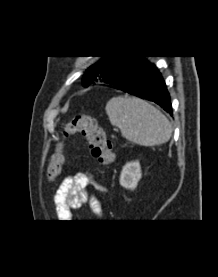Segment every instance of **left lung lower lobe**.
<instances>
[{"instance_id": "left-lung-lower-lobe-1", "label": "left lung lower lobe", "mask_w": 218, "mask_h": 277, "mask_svg": "<svg viewBox=\"0 0 218 277\" xmlns=\"http://www.w3.org/2000/svg\"><path fill=\"white\" fill-rule=\"evenodd\" d=\"M103 82L115 89L151 100L172 115L170 96L165 82L158 69L143 56H136Z\"/></svg>"}]
</instances>
